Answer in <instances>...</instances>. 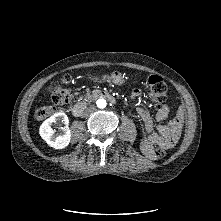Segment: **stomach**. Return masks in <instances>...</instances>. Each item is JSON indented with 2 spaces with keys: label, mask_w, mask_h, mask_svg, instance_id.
Masks as SVG:
<instances>
[{
  "label": "stomach",
  "mask_w": 221,
  "mask_h": 221,
  "mask_svg": "<svg viewBox=\"0 0 221 221\" xmlns=\"http://www.w3.org/2000/svg\"><path fill=\"white\" fill-rule=\"evenodd\" d=\"M99 78H96V80ZM101 80L112 82L116 85H122L124 83V78L122 73L118 70L113 71L109 75H105L101 78Z\"/></svg>",
  "instance_id": "1"
}]
</instances>
